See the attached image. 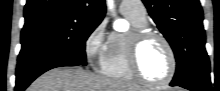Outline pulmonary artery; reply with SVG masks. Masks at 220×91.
<instances>
[{
    "instance_id": "1",
    "label": "pulmonary artery",
    "mask_w": 220,
    "mask_h": 91,
    "mask_svg": "<svg viewBox=\"0 0 220 91\" xmlns=\"http://www.w3.org/2000/svg\"><path fill=\"white\" fill-rule=\"evenodd\" d=\"M120 11L124 15L134 17L139 21H147L146 8L142 1L138 0H124L121 2Z\"/></svg>"
}]
</instances>
